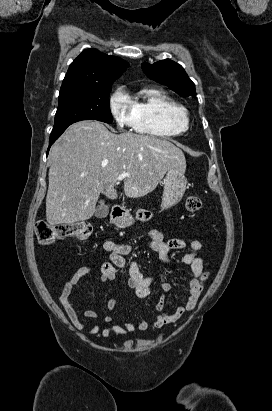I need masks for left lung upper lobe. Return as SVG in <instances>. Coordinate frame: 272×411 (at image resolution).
<instances>
[{
  "instance_id": "5c2ea615",
  "label": "left lung upper lobe",
  "mask_w": 272,
  "mask_h": 411,
  "mask_svg": "<svg viewBox=\"0 0 272 411\" xmlns=\"http://www.w3.org/2000/svg\"><path fill=\"white\" fill-rule=\"evenodd\" d=\"M141 67L147 77L169 86L180 96L196 97L195 84L178 63L165 59L154 64L143 63Z\"/></svg>"
}]
</instances>
